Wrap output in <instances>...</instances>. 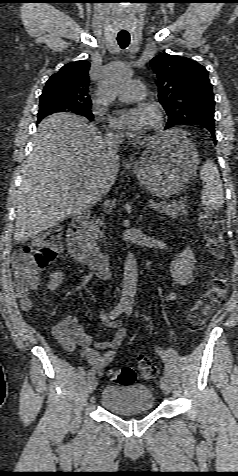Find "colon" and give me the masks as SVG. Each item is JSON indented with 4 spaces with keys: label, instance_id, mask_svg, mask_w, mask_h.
Wrapping results in <instances>:
<instances>
[{
    "label": "colon",
    "instance_id": "5ec220e1",
    "mask_svg": "<svg viewBox=\"0 0 238 476\" xmlns=\"http://www.w3.org/2000/svg\"><path fill=\"white\" fill-rule=\"evenodd\" d=\"M200 227L206 240L209 252L220 259L224 253L223 221L216 214L205 212L200 216ZM60 230L57 227L49 229L28 246L17 249L12 257L17 293L22 298L23 306L29 309L27 298L29 292L39 285V273L57 256L61 250ZM227 275L218 269L213 274L210 287L201 294L190 308L187 315L189 328L200 329L205 323L210 311L222 300L226 292ZM140 371L146 378L156 375V369L143 354L137 356ZM112 382L128 385L136 380V372L131 367H122L109 371Z\"/></svg>",
    "mask_w": 238,
    "mask_h": 476
}]
</instances>
